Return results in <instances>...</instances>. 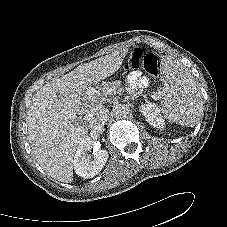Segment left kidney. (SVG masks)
Masks as SVG:
<instances>
[{
    "instance_id": "5707ae66",
    "label": "left kidney",
    "mask_w": 227,
    "mask_h": 227,
    "mask_svg": "<svg viewBox=\"0 0 227 227\" xmlns=\"http://www.w3.org/2000/svg\"><path fill=\"white\" fill-rule=\"evenodd\" d=\"M139 110L151 126L158 129L164 128V119L157 105L154 103L142 104Z\"/></svg>"
}]
</instances>
